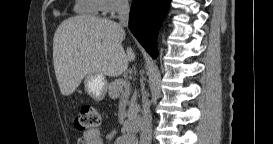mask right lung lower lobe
I'll use <instances>...</instances> for the list:
<instances>
[{
    "label": "right lung lower lobe",
    "mask_w": 273,
    "mask_h": 144,
    "mask_svg": "<svg viewBox=\"0 0 273 144\" xmlns=\"http://www.w3.org/2000/svg\"><path fill=\"white\" fill-rule=\"evenodd\" d=\"M170 0H133L129 28L146 51L157 56L156 34Z\"/></svg>",
    "instance_id": "1"
}]
</instances>
